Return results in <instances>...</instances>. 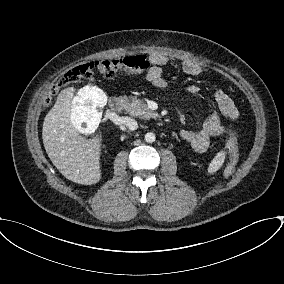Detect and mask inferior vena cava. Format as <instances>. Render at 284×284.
Returning a JSON list of instances; mask_svg holds the SVG:
<instances>
[{
  "instance_id": "inferior-vena-cava-1",
  "label": "inferior vena cava",
  "mask_w": 284,
  "mask_h": 284,
  "mask_svg": "<svg viewBox=\"0 0 284 284\" xmlns=\"http://www.w3.org/2000/svg\"><path fill=\"white\" fill-rule=\"evenodd\" d=\"M121 123L131 131L136 130L138 128L137 121L130 117H122Z\"/></svg>"
}]
</instances>
